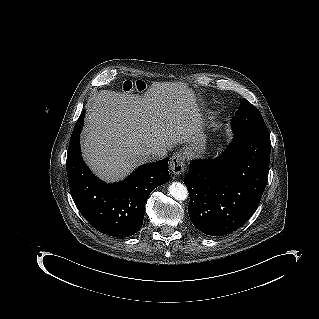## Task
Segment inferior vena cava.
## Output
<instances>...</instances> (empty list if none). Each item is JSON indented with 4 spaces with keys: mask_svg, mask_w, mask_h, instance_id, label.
<instances>
[{
    "mask_svg": "<svg viewBox=\"0 0 319 319\" xmlns=\"http://www.w3.org/2000/svg\"><path fill=\"white\" fill-rule=\"evenodd\" d=\"M145 155L147 156L148 161H156L165 158L167 151L160 149H150L145 151Z\"/></svg>",
    "mask_w": 319,
    "mask_h": 319,
    "instance_id": "obj_1",
    "label": "inferior vena cava"
}]
</instances>
